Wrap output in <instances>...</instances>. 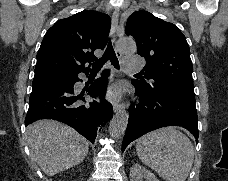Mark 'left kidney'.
<instances>
[{"mask_svg":"<svg viewBox=\"0 0 228 181\" xmlns=\"http://www.w3.org/2000/svg\"><path fill=\"white\" fill-rule=\"evenodd\" d=\"M129 179L130 181H158L157 177H155L153 173H150V171H147L145 167L138 165V163H134V165H132L129 173Z\"/></svg>","mask_w":228,"mask_h":181,"instance_id":"1","label":"left kidney"}]
</instances>
